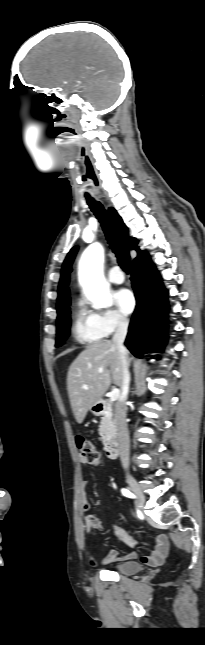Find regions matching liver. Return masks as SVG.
I'll list each match as a JSON object with an SVG mask.
<instances>
[{
  "instance_id": "liver-1",
  "label": "liver",
  "mask_w": 205,
  "mask_h": 645,
  "mask_svg": "<svg viewBox=\"0 0 205 645\" xmlns=\"http://www.w3.org/2000/svg\"><path fill=\"white\" fill-rule=\"evenodd\" d=\"M112 383L122 384L117 347L109 340L88 345L73 361L67 374V391L77 423L84 421L88 410L102 399Z\"/></svg>"
}]
</instances>
